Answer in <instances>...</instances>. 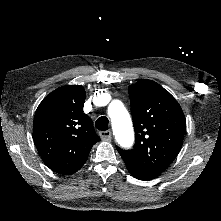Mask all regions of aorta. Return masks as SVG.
I'll return each mask as SVG.
<instances>
[{
    "mask_svg": "<svg viewBox=\"0 0 221 221\" xmlns=\"http://www.w3.org/2000/svg\"><path fill=\"white\" fill-rule=\"evenodd\" d=\"M108 115L111 118L113 133L118 143L129 148L134 142V131L130 115L123 103L114 100L108 107Z\"/></svg>",
    "mask_w": 221,
    "mask_h": 221,
    "instance_id": "762f6f07",
    "label": "aorta"
}]
</instances>
